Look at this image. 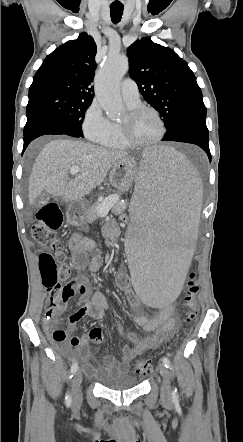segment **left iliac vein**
Wrapping results in <instances>:
<instances>
[{
	"label": "left iliac vein",
	"instance_id": "1",
	"mask_svg": "<svg viewBox=\"0 0 243 442\" xmlns=\"http://www.w3.org/2000/svg\"><path fill=\"white\" fill-rule=\"evenodd\" d=\"M158 369L163 377V383L160 391L161 399L163 402L169 403L171 401L170 375L164 364L160 363L158 365Z\"/></svg>",
	"mask_w": 243,
	"mask_h": 442
}]
</instances>
